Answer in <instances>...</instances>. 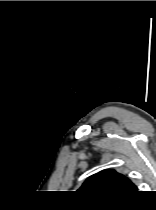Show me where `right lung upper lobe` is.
<instances>
[{
	"label": "right lung upper lobe",
	"instance_id": "right-lung-upper-lobe-1",
	"mask_svg": "<svg viewBox=\"0 0 156 210\" xmlns=\"http://www.w3.org/2000/svg\"><path fill=\"white\" fill-rule=\"evenodd\" d=\"M91 196L122 197L137 192V187L123 174L103 170L89 177L79 189Z\"/></svg>",
	"mask_w": 156,
	"mask_h": 210
}]
</instances>
